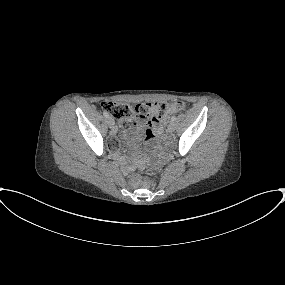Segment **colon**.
I'll list each match as a JSON object with an SVG mask.
<instances>
[{
	"instance_id": "colon-1",
	"label": "colon",
	"mask_w": 285,
	"mask_h": 285,
	"mask_svg": "<svg viewBox=\"0 0 285 285\" xmlns=\"http://www.w3.org/2000/svg\"><path fill=\"white\" fill-rule=\"evenodd\" d=\"M105 111L113 116L122 129H130L132 120L139 118L142 120H151L161 122L166 120L174 112L184 109L185 104L182 101L161 102V103H141L132 107L126 103L103 102Z\"/></svg>"
}]
</instances>
